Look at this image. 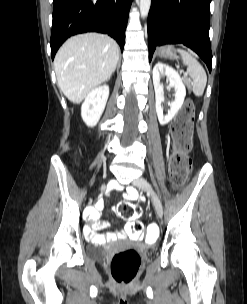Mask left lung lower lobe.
<instances>
[{"instance_id": "obj_1", "label": "left lung lower lobe", "mask_w": 247, "mask_h": 304, "mask_svg": "<svg viewBox=\"0 0 247 304\" xmlns=\"http://www.w3.org/2000/svg\"><path fill=\"white\" fill-rule=\"evenodd\" d=\"M210 2L152 0L148 15L149 60L156 46L181 43L195 51L211 72Z\"/></svg>"}]
</instances>
